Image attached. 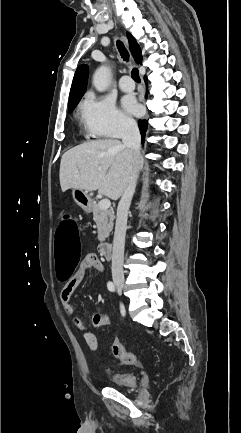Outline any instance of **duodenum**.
<instances>
[{
    "mask_svg": "<svg viewBox=\"0 0 241 433\" xmlns=\"http://www.w3.org/2000/svg\"><path fill=\"white\" fill-rule=\"evenodd\" d=\"M100 254L104 259H110L112 256V244L109 242H103L99 245Z\"/></svg>",
    "mask_w": 241,
    "mask_h": 433,
    "instance_id": "obj_1",
    "label": "duodenum"
}]
</instances>
